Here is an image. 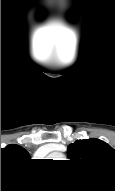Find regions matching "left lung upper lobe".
I'll list each match as a JSON object with an SVG mask.
<instances>
[{"instance_id":"left-lung-upper-lobe-1","label":"left lung upper lobe","mask_w":115,"mask_h":191,"mask_svg":"<svg viewBox=\"0 0 115 191\" xmlns=\"http://www.w3.org/2000/svg\"><path fill=\"white\" fill-rule=\"evenodd\" d=\"M72 162L115 178V150L96 138L77 140L68 146Z\"/></svg>"}]
</instances>
